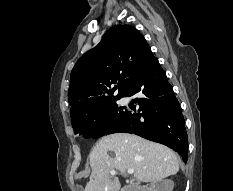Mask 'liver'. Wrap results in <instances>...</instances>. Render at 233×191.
I'll list each match as a JSON object with an SVG mask.
<instances>
[{
  "instance_id": "6515ba94",
  "label": "liver",
  "mask_w": 233,
  "mask_h": 191,
  "mask_svg": "<svg viewBox=\"0 0 233 191\" xmlns=\"http://www.w3.org/2000/svg\"><path fill=\"white\" fill-rule=\"evenodd\" d=\"M90 180L84 191H119L118 177L112 170L124 174L134 170L139 182L155 183L179 171V158L170 148L134 134L115 133L102 137L92 148Z\"/></svg>"
}]
</instances>
